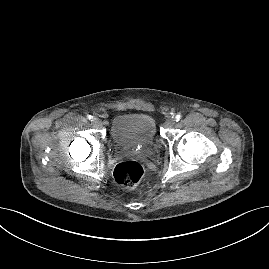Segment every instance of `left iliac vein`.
<instances>
[{"instance_id":"4c4485c4","label":"left iliac vein","mask_w":269,"mask_h":269,"mask_svg":"<svg viewBox=\"0 0 269 269\" xmlns=\"http://www.w3.org/2000/svg\"><path fill=\"white\" fill-rule=\"evenodd\" d=\"M175 124V119L174 118H169L167 119L165 123L166 128H171Z\"/></svg>"}]
</instances>
